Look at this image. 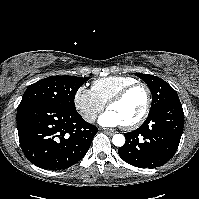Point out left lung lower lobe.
I'll list each match as a JSON object with an SVG mask.
<instances>
[{"label":"left lung lower lobe","instance_id":"left-lung-lower-lobe-1","mask_svg":"<svg viewBox=\"0 0 199 199\" xmlns=\"http://www.w3.org/2000/svg\"><path fill=\"white\" fill-rule=\"evenodd\" d=\"M184 127L180 101L149 112L135 131L124 133L126 142L118 149L120 157L139 168H156L168 162L177 151Z\"/></svg>","mask_w":199,"mask_h":199}]
</instances>
